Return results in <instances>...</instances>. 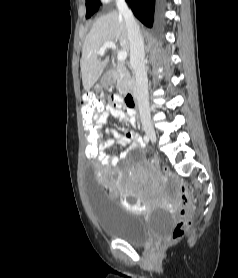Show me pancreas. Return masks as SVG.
Returning <instances> with one entry per match:
<instances>
[{"instance_id": "pancreas-1", "label": "pancreas", "mask_w": 238, "mask_h": 278, "mask_svg": "<svg viewBox=\"0 0 238 278\" xmlns=\"http://www.w3.org/2000/svg\"><path fill=\"white\" fill-rule=\"evenodd\" d=\"M117 89L121 94H125L132 90L134 85V77L131 75L127 67L121 63L116 66Z\"/></svg>"}]
</instances>
